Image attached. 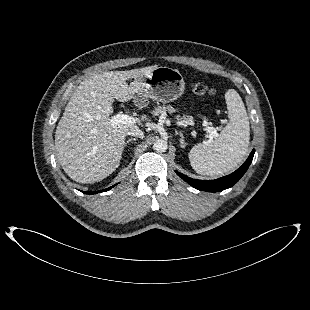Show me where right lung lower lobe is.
<instances>
[{"instance_id": "obj_1", "label": "right lung lower lobe", "mask_w": 310, "mask_h": 310, "mask_svg": "<svg viewBox=\"0 0 310 310\" xmlns=\"http://www.w3.org/2000/svg\"><path fill=\"white\" fill-rule=\"evenodd\" d=\"M114 186H111V187H109V188H107V189H104V190H101V191H96V192H83V193H85V194H95V193H100V192H104V191H108V190H110L111 188H113Z\"/></svg>"}]
</instances>
